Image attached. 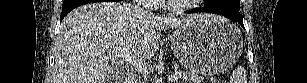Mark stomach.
Returning <instances> with one entry per match:
<instances>
[{
  "mask_svg": "<svg viewBox=\"0 0 307 83\" xmlns=\"http://www.w3.org/2000/svg\"><path fill=\"white\" fill-rule=\"evenodd\" d=\"M170 39L171 49L179 62L201 75L223 72L236 62L243 50L239 29L224 19L182 25Z\"/></svg>",
  "mask_w": 307,
  "mask_h": 83,
  "instance_id": "obj_1",
  "label": "stomach"
}]
</instances>
